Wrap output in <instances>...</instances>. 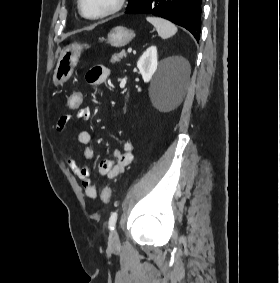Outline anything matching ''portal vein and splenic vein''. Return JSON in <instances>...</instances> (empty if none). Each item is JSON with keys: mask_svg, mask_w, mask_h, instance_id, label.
Returning <instances> with one entry per match:
<instances>
[{"mask_svg": "<svg viewBox=\"0 0 280 283\" xmlns=\"http://www.w3.org/2000/svg\"><path fill=\"white\" fill-rule=\"evenodd\" d=\"M127 52L131 53L132 52V48H128Z\"/></svg>", "mask_w": 280, "mask_h": 283, "instance_id": "obj_1", "label": "portal vein and splenic vein"}]
</instances>
